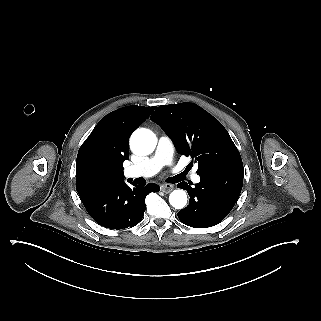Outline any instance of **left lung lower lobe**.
Wrapping results in <instances>:
<instances>
[{
    "instance_id": "1",
    "label": "left lung lower lobe",
    "mask_w": 321,
    "mask_h": 321,
    "mask_svg": "<svg viewBox=\"0 0 321 321\" xmlns=\"http://www.w3.org/2000/svg\"><path fill=\"white\" fill-rule=\"evenodd\" d=\"M195 187L185 182L179 188L187 190L189 205L178 212L182 223L194 228H207L220 223L232 210L240 195L243 165L219 167L199 174Z\"/></svg>"
}]
</instances>
